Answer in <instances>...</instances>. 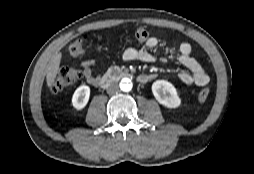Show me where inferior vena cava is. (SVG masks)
<instances>
[{
  "label": "inferior vena cava",
  "instance_id": "obj_1",
  "mask_svg": "<svg viewBox=\"0 0 254 174\" xmlns=\"http://www.w3.org/2000/svg\"><path fill=\"white\" fill-rule=\"evenodd\" d=\"M119 90V86L117 83H111L108 87H107V93L112 95V94H115L117 93Z\"/></svg>",
  "mask_w": 254,
  "mask_h": 174
}]
</instances>
